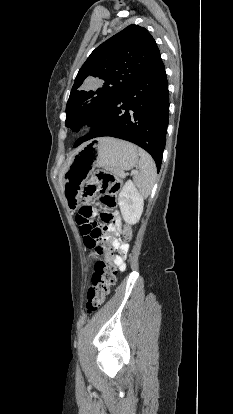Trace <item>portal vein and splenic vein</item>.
<instances>
[{
  "instance_id": "portal-vein-and-splenic-vein-1",
  "label": "portal vein and splenic vein",
  "mask_w": 233,
  "mask_h": 414,
  "mask_svg": "<svg viewBox=\"0 0 233 414\" xmlns=\"http://www.w3.org/2000/svg\"><path fill=\"white\" fill-rule=\"evenodd\" d=\"M136 172H137L136 170H133V171H132V173H136ZM125 176H126V174H125V173H123V174H122V177H125Z\"/></svg>"
}]
</instances>
